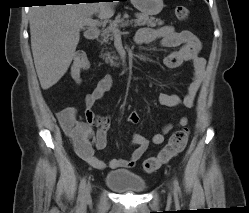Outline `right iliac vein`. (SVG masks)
Segmentation results:
<instances>
[{"instance_id": "right-iliac-vein-1", "label": "right iliac vein", "mask_w": 249, "mask_h": 213, "mask_svg": "<svg viewBox=\"0 0 249 213\" xmlns=\"http://www.w3.org/2000/svg\"><path fill=\"white\" fill-rule=\"evenodd\" d=\"M90 193H91V186H90V184H87L85 189H84V195H83L85 200H89Z\"/></svg>"}]
</instances>
